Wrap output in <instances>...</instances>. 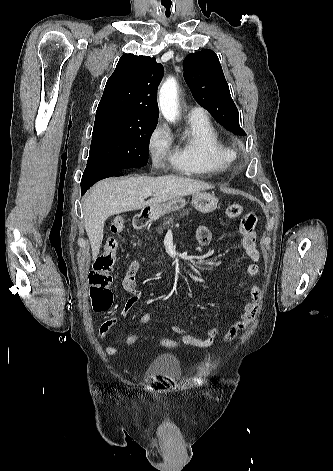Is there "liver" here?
<instances>
[{
    "label": "liver",
    "instance_id": "obj_1",
    "mask_svg": "<svg viewBox=\"0 0 333 471\" xmlns=\"http://www.w3.org/2000/svg\"><path fill=\"white\" fill-rule=\"evenodd\" d=\"M212 188L205 182L173 175L106 179L99 182L83 199L84 226L93 259L99 254L104 224L110 216ZM148 193H154V197L145 201Z\"/></svg>",
    "mask_w": 333,
    "mask_h": 471
}]
</instances>
